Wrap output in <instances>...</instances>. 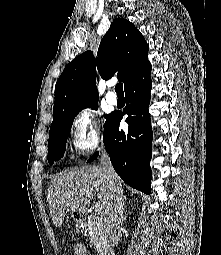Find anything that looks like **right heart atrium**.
<instances>
[{"mask_svg": "<svg viewBox=\"0 0 221 255\" xmlns=\"http://www.w3.org/2000/svg\"><path fill=\"white\" fill-rule=\"evenodd\" d=\"M71 138L76 151L86 154L101 143L100 121L96 112L80 109L71 122Z\"/></svg>", "mask_w": 221, "mask_h": 255, "instance_id": "obj_1", "label": "right heart atrium"}]
</instances>
